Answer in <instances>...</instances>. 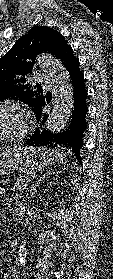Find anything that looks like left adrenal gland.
Listing matches in <instances>:
<instances>
[{
	"mask_svg": "<svg viewBox=\"0 0 113 279\" xmlns=\"http://www.w3.org/2000/svg\"><path fill=\"white\" fill-rule=\"evenodd\" d=\"M52 173H54V171H47L32 185L30 190L31 196L36 192V188L41 184V182Z\"/></svg>",
	"mask_w": 113,
	"mask_h": 279,
	"instance_id": "1",
	"label": "left adrenal gland"
}]
</instances>
